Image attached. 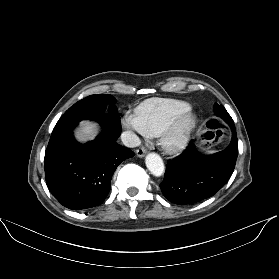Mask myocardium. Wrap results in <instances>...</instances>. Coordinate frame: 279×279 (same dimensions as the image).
Segmentation results:
<instances>
[{"mask_svg": "<svg viewBox=\"0 0 279 279\" xmlns=\"http://www.w3.org/2000/svg\"><path fill=\"white\" fill-rule=\"evenodd\" d=\"M197 118L192 109L178 115L159 134L161 148L170 154L182 151L196 127Z\"/></svg>", "mask_w": 279, "mask_h": 279, "instance_id": "myocardium-1", "label": "myocardium"}]
</instances>
